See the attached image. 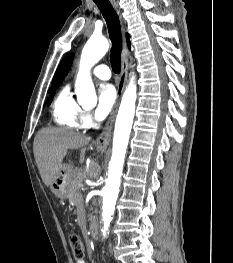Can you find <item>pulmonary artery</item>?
<instances>
[{
	"instance_id": "1",
	"label": "pulmonary artery",
	"mask_w": 233,
	"mask_h": 263,
	"mask_svg": "<svg viewBox=\"0 0 233 263\" xmlns=\"http://www.w3.org/2000/svg\"><path fill=\"white\" fill-rule=\"evenodd\" d=\"M93 74L101 80H108L111 77V71L107 65H97L93 69Z\"/></svg>"
}]
</instances>
